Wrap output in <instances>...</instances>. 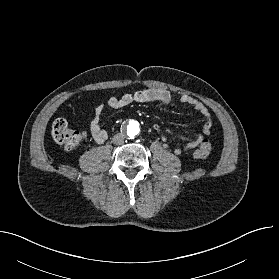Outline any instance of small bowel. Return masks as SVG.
<instances>
[{
  "label": "small bowel",
  "instance_id": "obj_1",
  "mask_svg": "<svg viewBox=\"0 0 279 279\" xmlns=\"http://www.w3.org/2000/svg\"><path fill=\"white\" fill-rule=\"evenodd\" d=\"M171 99L172 98L169 91L157 88H147L133 93H125L119 97H109L105 102L96 106L89 126L90 134L97 143H104L107 140L108 134L100 125V118L105 108L119 109L129 106L133 103L152 102H159L163 105H169L171 103ZM180 103L189 105L192 110L201 114L205 120V123L202 134L198 135L197 137L177 135L181 140L186 142V146L183 149L176 148V154H180L183 150L197 146L205 136L210 135L212 132L211 115L207 107H205L202 102L188 94H182L180 96ZM166 134L174 135L171 130H166Z\"/></svg>",
  "mask_w": 279,
  "mask_h": 279
}]
</instances>
